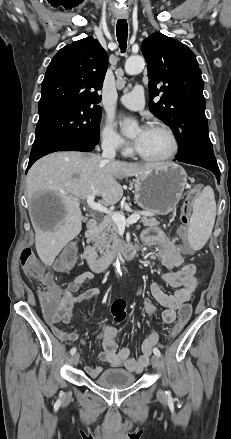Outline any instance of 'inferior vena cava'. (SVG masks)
<instances>
[{"label":"inferior vena cava","mask_w":231,"mask_h":439,"mask_svg":"<svg viewBox=\"0 0 231 439\" xmlns=\"http://www.w3.org/2000/svg\"><path fill=\"white\" fill-rule=\"evenodd\" d=\"M102 158L106 160H112L116 156V148L115 145L112 142H103L102 143Z\"/></svg>","instance_id":"inferior-vena-cava-1"}]
</instances>
